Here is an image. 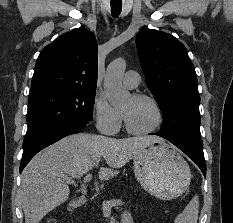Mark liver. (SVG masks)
<instances>
[{"instance_id": "6515ba94", "label": "liver", "mask_w": 233, "mask_h": 223, "mask_svg": "<svg viewBox=\"0 0 233 223\" xmlns=\"http://www.w3.org/2000/svg\"><path fill=\"white\" fill-rule=\"evenodd\" d=\"M163 141L158 135L106 137L95 133H74L63 137L37 153L21 173L20 201L25 223H39L44 215L67 201L70 187L64 175L82 177L91 171L101 157L108 167H99L98 179L106 181L118 175L141 149Z\"/></svg>"}]
</instances>
